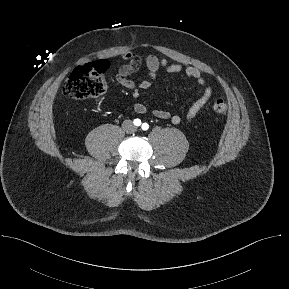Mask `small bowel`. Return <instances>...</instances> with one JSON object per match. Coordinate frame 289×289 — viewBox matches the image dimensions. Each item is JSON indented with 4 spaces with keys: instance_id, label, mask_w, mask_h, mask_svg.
Listing matches in <instances>:
<instances>
[{
    "instance_id": "1",
    "label": "small bowel",
    "mask_w": 289,
    "mask_h": 289,
    "mask_svg": "<svg viewBox=\"0 0 289 289\" xmlns=\"http://www.w3.org/2000/svg\"><path fill=\"white\" fill-rule=\"evenodd\" d=\"M121 59L126 61L121 65L116 73L115 80L123 87L131 91L134 97H138L141 91L151 88L152 81L156 79L160 69H164L171 74H183L184 76L194 79L197 83L199 97L188 108L185 118L190 120L195 118L203 107L207 104L212 96V88L205 81L201 71L195 67H184L180 64L169 63L165 58H159L154 54H145L141 52L125 51L120 55ZM142 65H144L149 74V80L135 82L129 78L131 74L136 72ZM134 111L137 114H144L147 112V106L143 103H136ZM153 115L162 120H169L173 124H180L183 117L180 114H171L163 109H153Z\"/></svg>"
}]
</instances>
